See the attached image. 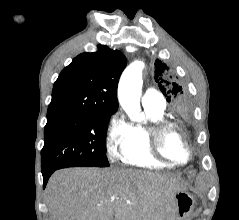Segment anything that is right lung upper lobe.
<instances>
[{"instance_id":"cb5924a9","label":"right lung upper lobe","mask_w":239,"mask_h":220,"mask_svg":"<svg viewBox=\"0 0 239 220\" xmlns=\"http://www.w3.org/2000/svg\"><path fill=\"white\" fill-rule=\"evenodd\" d=\"M125 67L124 55L105 45L78 55L54 83L47 116L116 112L117 86Z\"/></svg>"}]
</instances>
